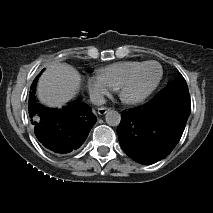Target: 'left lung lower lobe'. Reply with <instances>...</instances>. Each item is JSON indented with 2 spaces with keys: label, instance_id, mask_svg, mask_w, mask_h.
Wrapping results in <instances>:
<instances>
[{
  "label": "left lung lower lobe",
  "instance_id": "0a47b994",
  "mask_svg": "<svg viewBox=\"0 0 213 213\" xmlns=\"http://www.w3.org/2000/svg\"><path fill=\"white\" fill-rule=\"evenodd\" d=\"M190 112L188 87L167 86L147 104L121 112L122 149L141 164L165 158L179 142Z\"/></svg>",
  "mask_w": 213,
  "mask_h": 213
}]
</instances>
